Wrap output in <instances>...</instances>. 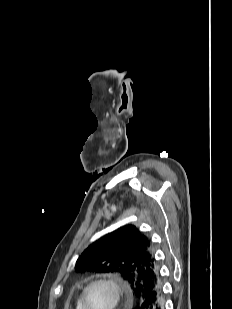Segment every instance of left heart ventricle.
Returning a JSON list of instances; mask_svg holds the SVG:
<instances>
[{
	"label": "left heart ventricle",
	"instance_id": "1",
	"mask_svg": "<svg viewBox=\"0 0 232 309\" xmlns=\"http://www.w3.org/2000/svg\"><path fill=\"white\" fill-rule=\"evenodd\" d=\"M114 296L105 285L92 286L86 296L87 309H110Z\"/></svg>",
	"mask_w": 232,
	"mask_h": 309
}]
</instances>
